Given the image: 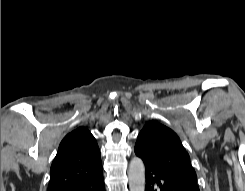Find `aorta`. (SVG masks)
Segmentation results:
<instances>
[{"label": "aorta", "mask_w": 245, "mask_h": 191, "mask_svg": "<svg viewBox=\"0 0 245 191\" xmlns=\"http://www.w3.org/2000/svg\"><path fill=\"white\" fill-rule=\"evenodd\" d=\"M128 179L130 191L145 190V167L140 158H132L128 170Z\"/></svg>", "instance_id": "1"}]
</instances>
